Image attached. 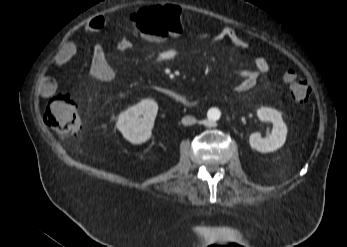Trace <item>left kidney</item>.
I'll return each mask as SVG.
<instances>
[{"instance_id":"5707ae66","label":"left kidney","mask_w":347,"mask_h":247,"mask_svg":"<svg viewBox=\"0 0 347 247\" xmlns=\"http://www.w3.org/2000/svg\"><path fill=\"white\" fill-rule=\"evenodd\" d=\"M257 116L263 122L272 123V133L266 138H262L258 132L251 134L249 137L250 146L262 153L273 152L283 146L288 129L281 113L276 109L262 107L257 110Z\"/></svg>"}]
</instances>
